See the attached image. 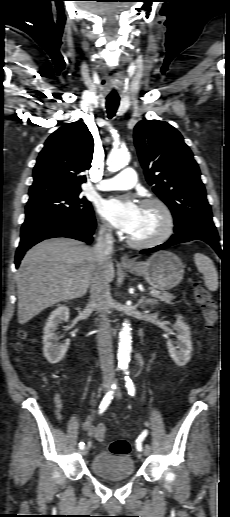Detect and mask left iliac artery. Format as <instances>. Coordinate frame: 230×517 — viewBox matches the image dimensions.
Wrapping results in <instances>:
<instances>
[{
    "label": "left iliac artery",
    "mask_w": 230,
    "mask_h": 517,
    "mask_svg": "<svg viewBox=\"0 0 230 517\" xmlns=\"http://www.w3.org/2000/svg\"><path fill=\"white\" fill-rule=\"evenodd\" d=\"M125 386L127 388L128 394L130 396H134L135 395V386H134V383L132 382V380L130 379V377L128 376V372H126V376H125ZM146 436H147V431L145 430L139 435L138 439L136 440V448L138 451L142 450V442Z\"/></svg>",
    "instance_id": "obj_1"
}]
</instances>
